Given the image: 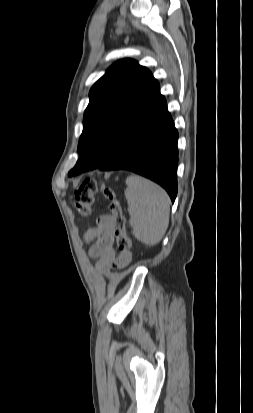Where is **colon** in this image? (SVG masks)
Instances as JSON below:
<instances>
[{
	"label": "colon",
	"instance_id": "5ec220e1",
	"mask_svg": "<svg viewBox=\"0 0 253 413\" xmlns=\"http://www.w3.org/2000/svg\"><path fill=\"white\" fill-rule=\"evenodd\" d=\"M97 191H101L109 200L112 233L118 249L121 252H129L132 246V240L126 231V221L122 206L112 188L104 185L95 178L84 179L75 191L74 196L78 212L82 216H88L91 213L94 204V195Z\"/></svg>",
	"mask_w": 253,
	"mask_h": 413
}]
</instances>
